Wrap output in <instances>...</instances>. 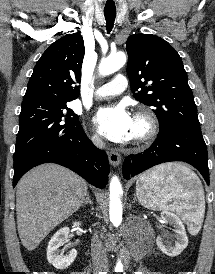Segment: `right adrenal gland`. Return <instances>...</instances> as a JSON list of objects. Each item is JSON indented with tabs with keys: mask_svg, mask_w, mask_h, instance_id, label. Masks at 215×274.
I'll return each instance as SVG.
<instances>
[{
	"mask_svg": "<svg viewBox=\"0 0 215 274\" xmlns=\"http://www.w3.org/2000/svg\"><path fill=\"white\" fill-rule=\"evenodd\" d=\"M86 204L92 205V201H91V199H90V194H89V192L86 193V199H85V201L83 202L82 206H84V205H86Z\"/></svg>",
	"mask_w": 215,
	"mask_h": 274,
	"instance_id": "2a0ac1e0",
	"label": "right adrenal gland"
}]
</instances>
